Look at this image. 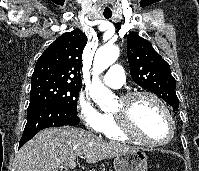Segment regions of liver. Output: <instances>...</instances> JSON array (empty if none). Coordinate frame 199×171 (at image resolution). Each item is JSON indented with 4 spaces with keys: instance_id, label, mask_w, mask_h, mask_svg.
<instances>
[{
    "instance_id": "obj_1",
    "label": "liver",
    "mask_w": 199,
    "mask_h": 171,
    "mask_svg": "<svg viewBox=\"0 0 199 171\" xmlns=\"http://www.w3.org/2000/svg\"><path fill=\"white\" fill-rule=\"evenodd\" d=\"M135 150L124 144L104 141L79 128H46L19 150L14 171H58L77 157L84 156L87 163H96Z\"/></svg>"
}]
</instances>
